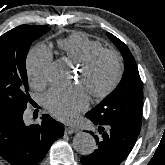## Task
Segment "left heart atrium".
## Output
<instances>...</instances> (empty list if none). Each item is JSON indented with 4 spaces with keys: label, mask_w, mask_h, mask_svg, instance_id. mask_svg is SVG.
Instances as JSON below:
<instances>
[{
    "label": "left heart atrium",
    "mask_w": 165,
    "mask_h": 165,
    "mask_svg": "<svg viewBox=\"0 0 165 165\" xmlns=\"http://www.w3.org/2000/svg\"><path fill=\"white\" fill-rule=\"evenodd\" d=\"M44 104L54 116L69 121L87 107L88 96L81 88H55L46 94Z\"/></svg>",
    "instance_id": "39dd6f15"
}]
</instances>
